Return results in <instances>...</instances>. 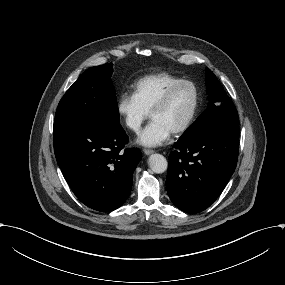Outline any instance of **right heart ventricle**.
<instances>
[{
    "label": "right heart ventricle",
    "instance_id": "obj_1",
    "mask_svg": "<svg viewBox=\"0 0 285 285\" xmlns=\"http://www.w3.org/2000/svg\"><path fill=\"white\" fill-rule=\"evenodd\" d=\"M179 80L180 77L168 72L153 73L139 79L134 91L144 108L150 112L165 90Z\"/></svg>",
    "mask_w": 285,
    "mask_h": 285
}]
</instances>
